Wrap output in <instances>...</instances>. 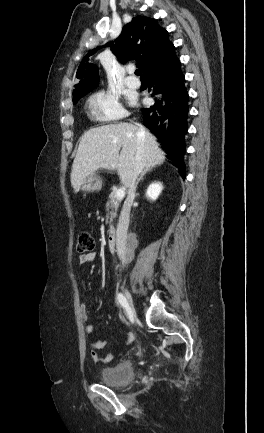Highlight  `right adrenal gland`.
<instances>
[{
    "label": "right adrenal gland",
    "instance_id": "2a0ac1e0",
    "mask_svg": "<svg viewBox=\"0 0 264 433\" xmlns=\"http://www.w3.org/2000/svg\"><path fill=\"white\" fill-rule=\"evenodd\" d=\"M147 173V171L146 170H143L142 172H141V174H140V176H139V178L137 179V181H136V188H137V186H138V184H139V182L141 181V180H143L144 178V175Z\"/></svg>",
    "mask_w": 264,
    "mask_h": 433
}]
</instances>
